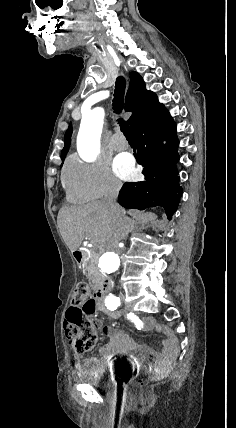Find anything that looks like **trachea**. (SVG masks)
Wrapping results in <instances>:
<instances>
[{"mask_svg": "<svg viewBox=\"0 0 236 428\" xmlns=\"http://www.w3.org/2000/svg\"><path fill=\"white\" fill-rule=\"evenodd\" d=\"M126 88V80L124 77H118L115 82V90H114V99H113V109L115 113H120L123 104H124V92ZM118 123L120 125L121 131L125 135L127 140H133L132 132L127 122H124L121 118H119Z\"/></svg>", "mask_w": 236, "mask_h": 428, "instance_id": "1", "label": "trachea"}]
</instances>
